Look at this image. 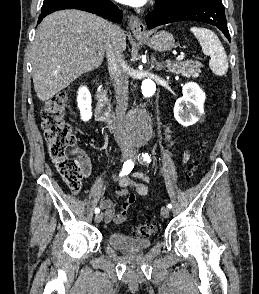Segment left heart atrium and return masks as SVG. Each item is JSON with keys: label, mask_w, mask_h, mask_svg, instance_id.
Returning <instances> with one entry per match:
<instances>
[{"label": "left heart atrium", "mask_w": 259, "mask_h": 294, "mask_svg": "<svg viewBox=\"0 0 259 294\" xmlns=\"http://www.w3.org/2000/svg\"><path fill=\"white\" fill-rule=\"evenodd\" d=\"M122 4L133 6V7H140L143 6L147 0H116Z\"/></svg>", "instance_id": "obj_1"}]
</instances>
